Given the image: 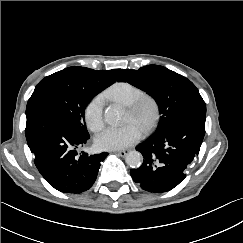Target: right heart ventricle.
Wrapping results in <instances>:
<instances>
[{
  "mask_svg": "<svg viewBox=\"0 0 243 243\" xmlns=\"http://www.w3.org/2000/svg\"><path fill=\"white\" fill-rule=\"evenodd\" d=\"M144 93L142 88L130 82H117L106 90L105 95L113 101L128 106Z\"/></svg>",
  "mask_w": 243,
  "mask_h": 243,
  "instance_id": "1",
  "label": "right heart ventricle"
}]
</instances>
